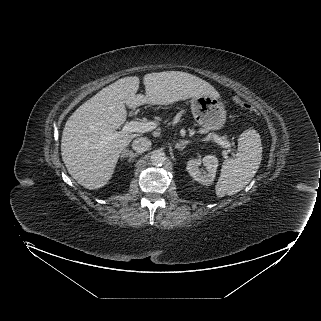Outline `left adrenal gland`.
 <instances>
[{"label": "left adrenal gland", "mask_w": 321, "mask_h": 321, "mask_svg": "<svg viewBox=\"0 0 321 321\" xmlns=\"http://www.w3.org/2000/svg\"><path fill=\"white\" fill-rule=\"evenodd\" d=\"M190 142L191 141L189 140H181L179 143L175 144V148L182 151Z\"/></svg>", "instance_id": "1"}]
</instances>
